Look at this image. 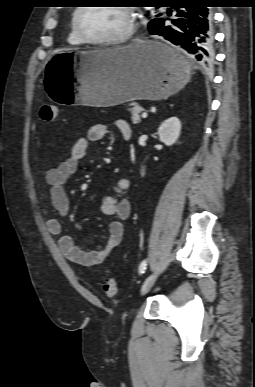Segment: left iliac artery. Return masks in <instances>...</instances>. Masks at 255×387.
I'll use <instances>...</instances> for the list:
<instances>
[{
  "mask_svg": "<svg viewBox=\"0 0 255 387\" xmlns=\"http://www.w3.org/2000/svg\"><path fill=\"white\" fill-rule=\"evenodd\" d=\"M147 266V260H143L139 266V273L143 274Z\"/></svg>",
  "mask_w": 255,
  "mask_h": 387,
  "instance_id": "obj_1",
  "label": "left iliac artery"
}]
</instances>
